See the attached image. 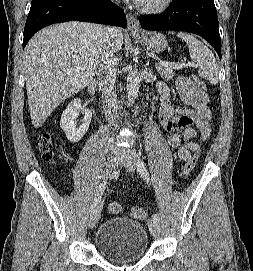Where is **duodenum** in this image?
Returning a JSON list of instances; mask_svg holds the SVG:
<instances>
[{"mask_svg":"<svg viewBox=\"0 0 253 271\" xmlns=\"http://www.w3.org/2000/svg\"><path fill=\"white\" fill-rule=\"evenodd\" d=\"M96 89H97V82L96 81H93L90 83L89 85V93L91 96H95V93H96ZM95 103H97V100L94 99Z\"/></svg>","mask_w":253,"mask_h":271,"instance_id":"obj_1","label":"duodenum"}]
</instances>
